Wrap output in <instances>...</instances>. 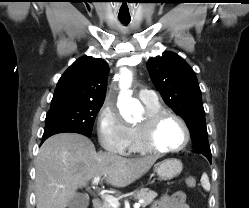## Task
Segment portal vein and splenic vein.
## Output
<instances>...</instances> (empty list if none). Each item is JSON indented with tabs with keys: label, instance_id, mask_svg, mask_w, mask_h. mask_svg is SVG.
Returning <instances> with one entry per match:
<instances>
[{
	"label": "portal vein and splenic vein",
	"instance_id": "portal-vein-and-splenic-vein-1",
	"mask_svg": "<svg viewBox=\"0 0 249 208\" xmlns=\"http://www.w3.org/2000/svg\"><path fill=\"white\" fill-rule=\"evenodd\" d=\"M100 181V177H95L92 181V184L93 185H97ZM103 198L106 202H108L113 208H118L120 206V203H119V200L118 198H115L111 195H108V194H104L103 195ZM143 202V200H140L138 203H135L134 204V208H140L141 206V203Z\"/></svg>",
	"mask_w": 249,
	"mask_h": 208
}]
</instances>
